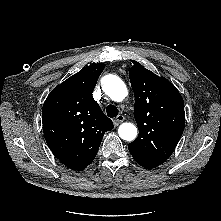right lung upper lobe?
I'll return each mask as SVG.
<instances>
[{
	"instance_id": "1",
	"label": "right lung upper lobe",
	"mask_w": 221,
	"mask_h": 221,
	"mask_svg": "<svg viewBox=\"0 0 221 221\" xmlns=\"http://www.w3.org/2000/svg\"><path fill=\"white\" fill-rule=\"evenodd\" d=\"M104 67L83 68L55 87L43 105L45 140L52 153L73 170L85 167L96 156L104 133L113 128L92 97Z\"/></svg>"
}]
</instances>
